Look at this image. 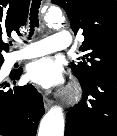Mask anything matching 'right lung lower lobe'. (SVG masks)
<instances>
[{"instance_id": "98d812e1", "label": "right lung lower lobe", "mask_w": 117, "mask_h": 136, "mask_svg": "<svg viewBox=\"0 0 117 136\" xmlns=\"http://www.w3.org/2000/svg\"><path fill=\"white\" fill-rule=\"evenodd\" d=\"M21 72L12 74L7 81H0V135L3 136H36L44 114L42 96L31 84L9 88Z\"/></svg>"}]
</instances>
